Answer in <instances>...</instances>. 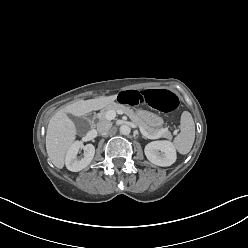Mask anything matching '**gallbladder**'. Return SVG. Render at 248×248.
<instances>
[{
	"mask_svg": "<svg viewBox=\"0 0 248 248\" xmlns=\"http://www.w3.org/2000/svg\"><path fill=\"white\" fill-rule=\"evenodd\" d=\"M72 121L74 122L76 128L78 129V131L80 132H85L88 128V122L80 117H76V116H70Z\"/></svg>",
	"mask_w": 248,
	"mask_h": 248,
	"instance_id": "bac80fb5",
	"label": "gallbladder"
}]
</instances>
